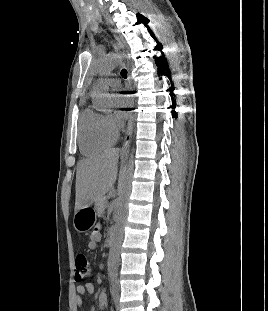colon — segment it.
I'll use <instances>...</instances> for the list:
<instances>
[{
    "instance_id": "colon-1",
    "label": "colon",
    "mask_w": 268,
    "mask_h": 311,
    "mask_svg": "<svg viewBox=\"0 0 268 311\" xmlns=\"http://www.w3.org/2000/svg\"><path fill=\"white\" fill-rule=\"evenodd\" d=\"M75 268H76L75 278L77 281L88 276L90 272V267L88 259L84 254L80 253L76 256Z\"/></svg>"
}]
</instances>
